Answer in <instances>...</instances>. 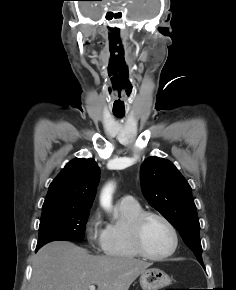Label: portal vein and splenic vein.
<instances>
[{
    "mask_svg": "<svg viewBox=\"0 0 236 290\" xmlns=\"http://www.w3.org/2000/svg\"><path fill=\"white\" fill-rule=\"evenodd\" d=\"M89 290H96L95 285H90V286H89Z\"/></svg>",
    "mask_w": 236,
    "mask_h": 290,
    "instance_id": "obj_1",
    "label": "portal vein and splenic vein"
}]
</instances>
